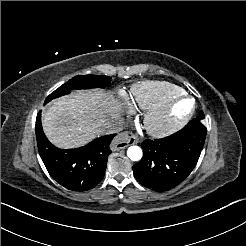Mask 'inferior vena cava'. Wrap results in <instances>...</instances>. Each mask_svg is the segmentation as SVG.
I'll list each match as a JSON object with an SVG mask.
<instances>
[{"instance_id": "obj_1", "label": "inferior vena cava", "mask_w": 246, "mask_h": 246, "mask_svg": "<svg viewBox=\"0 0 246 246\" xmlns=\"http://www.w3.org/2000/svg\"><path fill=\"white\" fill-rule=\"evenodd\" d=\"M123 129L122 127V122H118L116 124H113L108 130L107 133L109 134H114V133H118Z\"/></svg>"}]
</instances>
